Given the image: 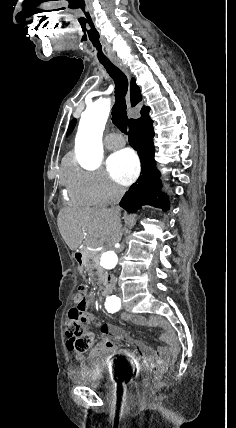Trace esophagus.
Masks as SVG:
<instances>
[{"instance_id": "esophagus-1", "label": "esophagus", "mask_w": 236, "mask_h": 428, "mask_svg": "<svg viewBox=\"0 0 236 428\" xmlns=\"http://www.w3.org/2000/svg\"><path fill=\"white\" fill-rule=\"evenodd\" d=\"M113 63H114V65L119 67L125 73V75H127L128 78H130V72H129L128 67L126 65H124L121 62H113ZM126 103H127V106L130 107L129 94H127V96H126Z\"/></svg>"}]
</instances>
